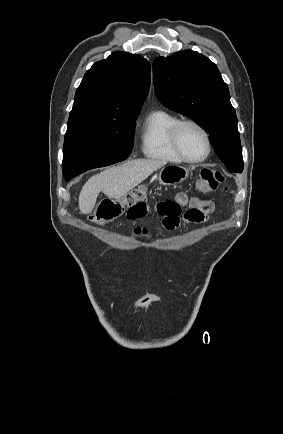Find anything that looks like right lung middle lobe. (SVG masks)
I'll use <instances>...</instances> for the list:
<instances>
[{
  "label": "right lung middle lobe",
  "instance_id": "obj_1",
  "mask_svg": "<svg viewBox=\"0 0 283 434\" xmlns=\"http://www.w3.org/2000/svg\"><path fill=\"white\" fill-rule=\"evenodd\" d=\"M136 118L68 121L62 163L65 180L127 159L133 147Z\"/></svg>",
  "mask_w": 283,
  "mask_h": 434
}]
</instances>
